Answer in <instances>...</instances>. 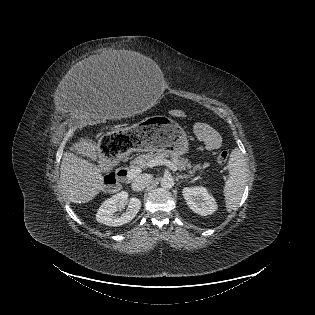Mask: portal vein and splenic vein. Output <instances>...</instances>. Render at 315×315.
I'll use <instances>...</instances> for the list:
<instances>
[{
  "label": "portal vein and splenic vein",
  "mask_w": 315,
  "mask_h": 315,
  "mask_svg": "<svg viewBox=\"0 0 315 315\" xmlns=\"http://www.w3.org/2000/svg\"><path fill=\"white\" fill-rule=\"evenodd\" d=\"M156 165H166L173 171L178 170L177 166L168 160H153L147 164L148 167H153ZM140 172H141V167L136 166L128 171L127 177L130 179L135 178L137 175L140 174Z\"/></svg>",
  "instance_id": "portal-vein-and-splenic-vein-1"
}]
</instances>
